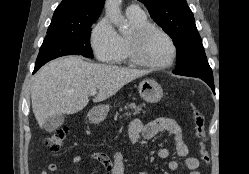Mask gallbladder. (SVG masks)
I'll list each match as a JSON object with an SVG mask.
<instances>
[{"label": "gallbladder", "instance_id": "bac80fb5", "mask_svg": "<svg viewBox=\"0 0 249 174\" xmlns=\"http://www.w3.org/2000/svg\"><path fill=\"white\" fill-rule=\"evenodd\" d=\"M64 122V116L61 114L53 115L49 118H47L43 123V128L47 132H53L58 127H60Z\"/></svg>", "mask_w": 249, "mask_h": 174}]
</instances>
